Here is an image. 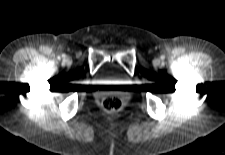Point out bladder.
<instances>
[{"mask_svg":"<svg viewBox=\"0 0 225 155\" xmlns=\"http://www.w3.org/2000/svg\"><path fill=\"white\" fill-rule=\"evenodd\" d=\"M99 79L101 80H117L118 76L111 68H104L99 73Z\"/></svg>","mask_w":225,"mask_h":155,"instance_id":"1","label":"bladder"}]
</instances>
